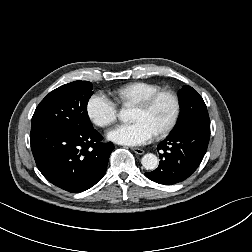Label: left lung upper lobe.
<instances>
[{"label":"left lung upper lobe","instance_id":"obj_1","mask_svg":"<svg viewBox=\"0 0 252 252\" xmlns=\"http://www.w3.org/2000/svg\"><path fill=\"white\" fill-rule=\"evenodd\" d=\"M181 113L178 125L171 135H176L193 127L210 128V119L202 97L190 86L179 93Z\"/></svg>","mask_w":252,"mask_h":252}]
</instances>
